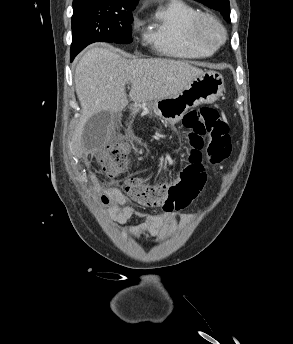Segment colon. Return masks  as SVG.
<instances>
[{
    "instance_id": "colon-1",
    "label": "colon",
    "mask_w": 293,
    "mask_h": 344,
    "mask_svg": "<svg viewBox=\"0 0 293 344\" xmlns=\"http://www.w3.org/2000/svg\"><path fill=\"white\" fill-rule=\"evenodd\" d=\"M183 127L190 147L188 166L177 180L149 183L136 176H127L122 181L124 192L136 202L165 211L188 207L197 197L204 184L195 179L194 168L201 164V151L207 138V160L211 165L225 161L231 153V138L228 123L221 112L214 107H202L188 112L183 118ZM133 145L121 143L98 153L94 160L102 171L110 177L125 172L130 166ZM101 206L110 203L105 193H99Z\"/></svg>"
}]
</instances>
